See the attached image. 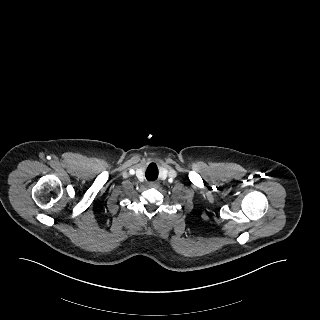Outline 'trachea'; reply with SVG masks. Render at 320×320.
<instances>
[{"mask_svg":"<svg viewBox=\"0 0 320 320\" xmlns=\"http://www.w3.org/2000/svg\"><path fill=\"white\" fill-rule=\"evenodd\" d=\"M146 177L149 180H155L157 178V173L147 171L146 172Z\"/></svg>","mask_w":320,"mask_h":320,"instance_id":"obj_1","label":"trachea"}]
</instances>
